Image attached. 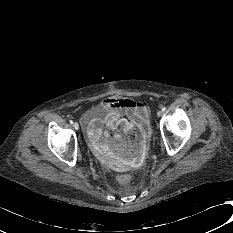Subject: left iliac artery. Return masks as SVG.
I'll return each mask as SVG.
<instances>
[{
  "mask_svg": "<svg viewBox=\"0 0 233 233\" xmlns=\"http://www.w3.org/2000/svg\"><path fill=\"white\" fill-rule=\"evenodd\" d=\"M165 110H166V108H165V107H163V108H162V111L164 112Z\"/></svg>",
  "mask_w": 233,
  "mask_h": 233,
  "instance_id": "1",
  "label": "left iliac artery"
}]
</instances>
